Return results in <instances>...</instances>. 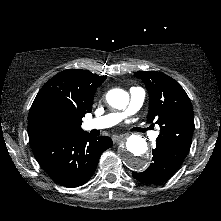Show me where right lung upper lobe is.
<instances>
[{"label":"right lung upper lobe","mask_w":221,"mask_h":221,"mask_svg":"<svg viewBox=\"0 0 221 221\" xmlns=\"http://www.w3.org/2000/svg\"><path fill=\"white\" fill-rule=\"evenodd\" d=\"M106 77L88 70L67 69L48 82L38 92L29 112L30 143L56 136L84 133L81 124L92 111L95 91Z\"/></svg>","instance_id":"right-lung-upper-lobe-1"}]
</instances>
